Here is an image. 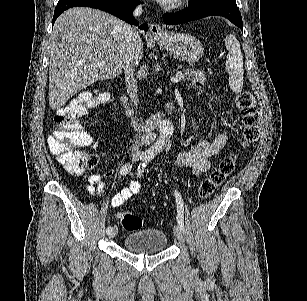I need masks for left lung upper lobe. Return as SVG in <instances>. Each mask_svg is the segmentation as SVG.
Segmentation results:
<instances>
[{"mask_svg": "<svg viewBox=\"0 0 307 301\" xmlns=\"http://www.w3.org/2000/svg\"><path fill=\"white\" fill-rule=\"evenodd\" d=\"M213 1H221V2L236 5L235 0H191L190 6L199 5V4L208 3V2H213Z\"/></svg>", "mask_w": 307, "mask_h": 301, "instance_id": "obj_1", "label": "left lung upper lobe"}]
</instances>
